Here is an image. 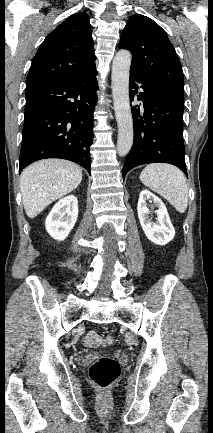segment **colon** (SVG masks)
Listing matches in <instances>:
<instances>
[{
  "instance_id": "colon-1",
  "label": "colon",
  "mask_w": 213,
  "mask_h": 433,
  "mask_svg": "<svg viewBox=\"0 0 213 433\" xmlns=\"http://www.w3.org/2000/svg\"><path fill=\"white\" fill-rule=\"evenodd\" d=\"M103 343L112 346L115 343L113 336H105ZM119 363L111 357H99L89 369V376L92 382L101 390L108 389L120 375Z\"/></svg>"
}]
</instances>
